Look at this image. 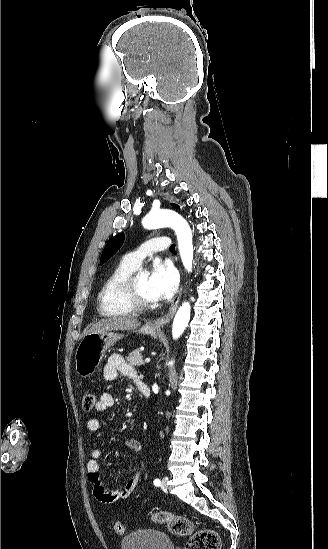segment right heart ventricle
<instances>
[{"label":"right heart ventricle","instance_id":"right-heart-ventricle-1","mask_svg":"<svg viewBox=\"0 0 328 549\" xmlns=\"http://www.w3.org/2000/svg\"><path fill=\"white\" fill-rule=\"evenodd\" d=\"M140 263L132 261L129 254H126L106 278L97 297V310L101 319H133L132 314L116 309L117 305L122 304L117 296V289L122 280L135 271Z\"/></svg>","mask_w":328,"mask_h":549}]
</instances>
